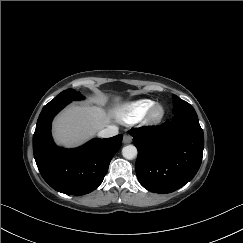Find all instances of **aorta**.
<instances>
[{
	"label": "aorta",
	"mask_w": 243,
	"mask_h": 243,
	"mask_svg": "<svg viewBox=\"0 0 243 243\" xmlns=\"http://www.w3.org/2000/svg\"><path fill=\"white\" fill-rule=\"evenodd\" d=\"M122 155L128 160L134 159L137 156V148L134 145L124 146L122 149Z\"/></svg>",
	"instance_id": "obj_1"
}]
</instances>
